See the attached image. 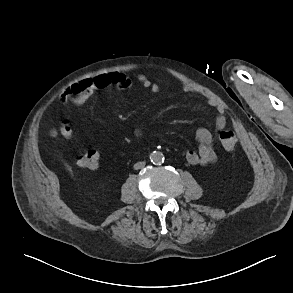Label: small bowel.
I'll return each instance as SVG.
<instances>
[{
  "label": "small bowel",
  "instance_id": "obj_1",
  "mask_svg": "<svg viewBox=\"0 0 293 293\" xmlns=\"http://www.w3.org/2000/svg\"><path fill=\"white\" fill-rule=\"evenodd\" d=\"M140 84L149 89L151 92L156 93L159 90L157 83L152 82L144 75L138 77ZM132 83L131 80L120 72L101 73L92 77H87L79 80L78 82L69 86L61 94V100L69 101L74 105H84L97 91L107 88L116 89H129ZM181 89L184 92H191L199 94L200 90L187 83H182ZM226 116L221 107L217 108L216 127L218 129L224 128L226 125ZM196 140L198 141L197 151H188L186 153V160L191 165H207L213 163L217 154L213 148L212 133L206 128H200L195 133Z\"/></svg>",
  "mask_w": 293,
  "mask_h": 293
}]
</instances>
